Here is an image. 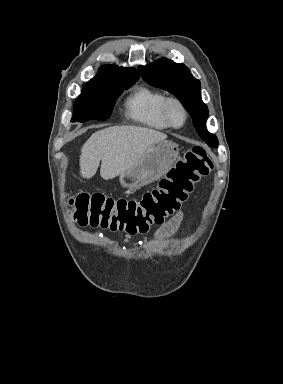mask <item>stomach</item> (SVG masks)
Wrapping results in <instances>:
<instances>
[{
    "label": "stomach",
    "instance_id": "stomach-1",
    "mask_svg": "<svg viewBox=\"0 0 283 384\" xmlns=\"http://www.w3.org/2000/svg\"><path fill=\"white\" fill-rule=\"evenodd\" d=\"M178 154V144L169 142V140L152 144L151 148L146 150L133 168L120 174L123 188L139 190L143 186L156 182L173 166Z\"/></svg>",
    "mask_w": 283,
    "mask_h": 384
}]
</instances>
